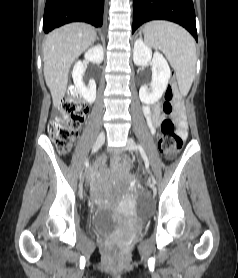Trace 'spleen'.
Listing matches in <instances>:
<instances>
[{"mask_svg": "<svg viewBox=\"0 0 238 278\" xmlns=\"http://www.w3.org/2000/svg\"><path fill=\"white\" fill-rule=\"evenodd\" d=\"M148 47L161 50L176 72L179 90L187 94L196 70V47L193 37L182 27L167 21H152L143 29Z\"/></svg>", "mask_w": 238, "mask_h": 278, "instance_id": "obj_1", "label": "spleen"}]
</instances>
